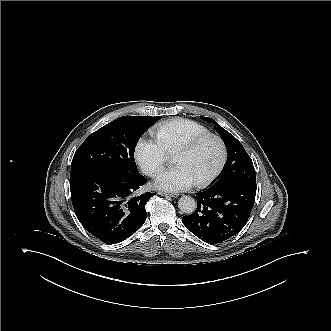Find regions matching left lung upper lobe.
I'll use <instances>...</instances> for the list:
<instances>
[{
	"instance_id": "5c2ea615",
	"label": "left lung upper lobe",
	"mask_w": 331,
	"mask_h": 331,
	"mask_svg": "<svg viewBox=\"0 0 331 331\" xmlns=\"http://www.w3.org/2000/svg\"><path fill=\"white\" fill-rule=\"evenodd\" d=\"M203 119L217 125L215 129L222 137L228 151L225 167L221 172L220 179L213 187H222L233 183L256 186L255 169L252 160L241 143L213 119L208 117H203Z\"/></svg>"
}]
</instances>
